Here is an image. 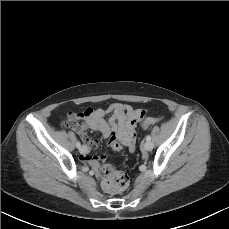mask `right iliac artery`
I'll list each match as a JSON object with an SVG mask.
<instances>
[{"mask_svg":"<svg viewBox=\"0 0 229 229\" xmlns=\"http://www.w3.org/2000/svg\"><path fill=\"white\" fill-rule=\"evenodd\" d=\"M76 147L80 148L81 147V143L79 141L76 142Z\"/></svg>","mask_w":229,"mask_h":229,"instance_id":"82829eb1","label":"right iliac artery"}]
</instances>
